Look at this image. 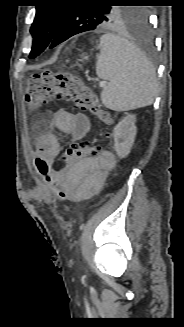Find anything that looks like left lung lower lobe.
Here are the masks:
<instances>
[{
    "label": "left lung lower lobe",
    "instance_id": "obj_1",
    "mask_svg": "<svg viewBox=\"0 0 184 327\" xmlns=\"http://www.w3.org/2000/svg\"><path fill=\"white\" fill-rule=\"evenodd\" d=\"M78 34V32L74 30H66L61 26L57 33L55 34L54 38L52 39L49 48H53L56 45L64 42L68 38L73 35ZM133 37L136 42V47L144 54L152 55L154 53V42L152 36V28L149 24L147 18L140 22L137 26L133 28Z\"/></svg>",
    "mask_w": 184,
    "mask_h": 327
}]
</instances>
